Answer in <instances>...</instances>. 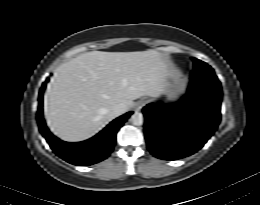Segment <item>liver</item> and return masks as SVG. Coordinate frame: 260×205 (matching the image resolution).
<instances>
[{"instance_id":"obj_1","label":"liver","mask_w":260,"mask_h":205,"mask_svg":"<svg viewBox=\"0 0 260 205\" xmlns=\"http://www.w3.org/2000/svg\"><path fill=\"white\" fill-rule=\"evenodd\" d=\"M168 68L156 50L81 54L59 66L47 87L48 125L62 140H86L115 118L114 106L128 110L133 100L163 93Z\"/></svg>"}]
</instances>
